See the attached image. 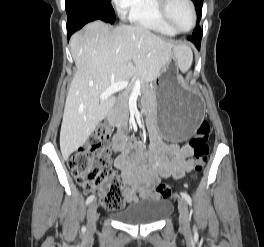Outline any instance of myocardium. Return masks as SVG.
<instances>
[{
  "mask_svg": "<svg viewBox=\"0 0 264 247\" xmlns=\"http://www.w3.org/2000/svg\"><path fill=\"white\" fill-rule=\"evenodd\" d=\"M170 2H171V0H158V10H159V13H160L161 17L163 18V20L177 33H183V32H187V31L191 30L195 26L196 20H197V13H196V8H195L194 2L192 0H186V2L188 3V5L190 6V9H191L192 22H191L190 26L188 28H185V29H180V28L176 27L174 25V23L172 22L170 15H169Z\"/></svg>",
  "mask_w": 264,
  "mask_h": 247,
  "instance_id": "f54148a6",
  "label": "myocardium"
}]
</instances>
